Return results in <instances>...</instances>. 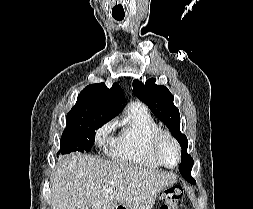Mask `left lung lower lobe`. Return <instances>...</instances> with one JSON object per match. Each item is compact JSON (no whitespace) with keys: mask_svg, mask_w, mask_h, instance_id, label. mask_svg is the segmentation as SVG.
Instances as JSON below:
<instances>
[{"mask_svg":"<svg viewBox=\"0 0 253 209\" xmlns=\"http://www.w3.org/2000/svg\"><path fill=\"white\" fill-rule=\"evenodd\" d=\"M189 182L192 183V184H195V183H196L195 180H194L193 178H192Z\"/></svg>","mask_w":253,"mask_h":209,"instance_id":"obj_1","label":"left lung lower lobe"}]
</instances>
